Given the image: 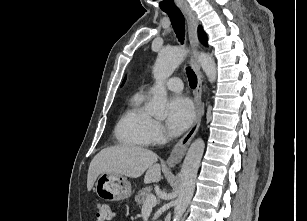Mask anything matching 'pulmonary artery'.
Instances as JSON below:
<instances>
[{
    "mask_svg": "<svg viewBox=\"0 0 307 221\" xmlns=\"http://www.w3.org/2000/svg\"><path fill=\"white\" fill-rule=\"evenodd\" d=\"M165 87L173 92H180L183 89V82L179 78H171L165 83ZM149 91H152V87H149Z\"/></svg>",
    "mask_w": 307,
    "mask_h": 221,
    "instance_id": "e3ab8cb5",
    "label": "pulmonary artery"
}]
</instances>
